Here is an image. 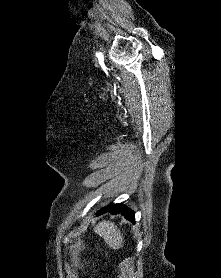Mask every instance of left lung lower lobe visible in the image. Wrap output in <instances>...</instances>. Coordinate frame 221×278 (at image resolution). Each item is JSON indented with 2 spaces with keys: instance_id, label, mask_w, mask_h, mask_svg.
I'll return each mask as SVG.
<instances>
[{
  "instance_id": "left-lung-lower-lobe-1",
  "label": "left lung lower lobe",
  "mask_w": 221,
  "mask_h": 278,
  "mask_svg": "<svg viewBox=\"0 0 221 278\" xmlns=\"http://www.w3.org/2000/svg\"><path fill=\"white\" fill-rule=\"evenodd\" d=\"M107 209H109L112 214L121 213V214L124 215V217L127 220L135 222L134 221V212L132 210H130L129 208H127L126 206L122 205V204H110L107 207H104L103 209L98 211L97 215L102 214L104 211H108Z\"/></svg>"
}]
</instances>
